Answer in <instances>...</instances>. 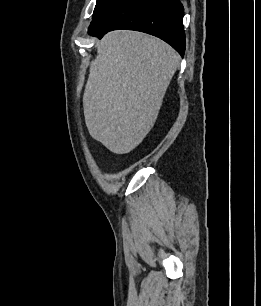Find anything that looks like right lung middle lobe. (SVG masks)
Here are the masks:
<instances>
[{
    "label": "right lung middle lobe",
    "instance_id": "obj_1",
    "mask_svg": "<svg viewBox=\"0 0 261 306\" xmlns=\"http://www.w3.org/2000/svg\"><path fill=\"white\" fill-rule=\"evenodd\" d=\"M112 0H97L94 13L93 20L98 16V14L111 2ZM92 20V21H93Z\"/></svg>",
    "mask_w": 261,
    "mask_h": 306
}]
</instances>
